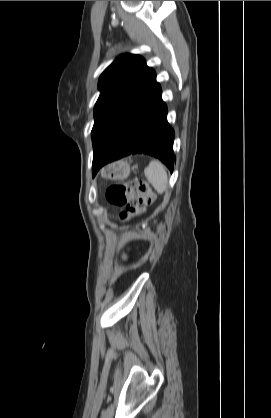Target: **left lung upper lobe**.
Returning <instances> with one entry per match:
<instances>
[{
  "instance_id": "5c2ea615",
  "label": "left lung upper lobe",
  "mask_w": 271,
  "mask_h": 418,
  "mask_svg": "<svg viewBox=\"0 0 271 418\" xmlns=\"http://www.w3.org/2000/svg\"><path fill=\"white\" fill-rule=\"evenodd\" d=\"M156 84V74L138 55L115 59L99 78L100 96L94 107V155L122 119Z\"/></svg>"
}]
</instances>
